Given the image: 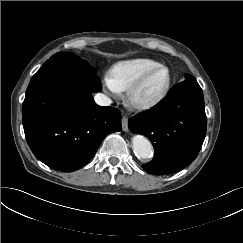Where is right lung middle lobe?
<instances>
[{
  "mask_svg": "<svg viewBox=\"0 0 243 243\" xmlns=\"http://www.w3.org/2000/svg\"><path fill=\"white\" fill-rule=\"evenodd\" d=\"M62 70L74 73H94L93 67L72 52H60L53 55L38 70L39 72H53Z\"/></svg>",
  "mask_w": 243,
  "mask_h": 243,
  "instance_id": "1",
  "label": "right lung middle lobe"
}]
</instances>
